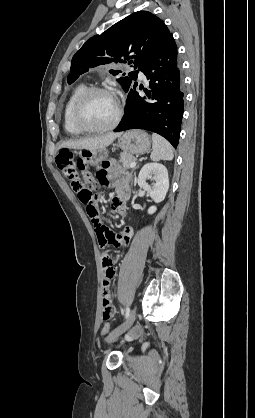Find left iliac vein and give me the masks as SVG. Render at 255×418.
<instances>
[{
	"instance_id": "1",
	"label": "left iliac vein",
	"mask_w": 255,
	"mask_h": 418,
	"mask_svg": "<svg viewBox=\"0 0 255 418\" xmlns=\"http://www.w3.org/2000/svg\"><path fill=\"white\" fill-rule=\"evenodd\" d=\"M136 318V310L133 308L127 319L117 328H115L106 338L108 343L114 341L117 337L127 331L134 323Z\"/></svg>"
}]
</instances>
